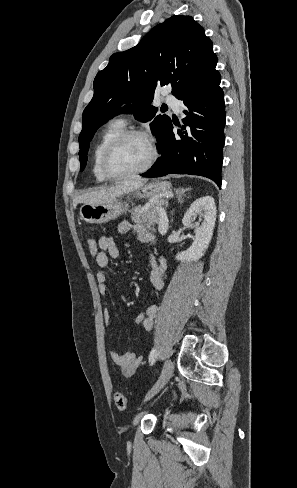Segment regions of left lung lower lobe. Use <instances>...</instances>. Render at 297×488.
I'll list each match as a JSON object with an SVG mask.
<instances>
[{
	"mask_svg": "<svg viewBox=\"0 0 297 488\" xmlns=\"http://www.w3.org/2000/svg\"><path fill=\"white\" fill-rule=\"evenodd\" d=\"M220 80L216 71L201 87L181 99L186 106L184 125L175 135L170 123L159 147L161 157L141 176L200 175L221 187L225 104Z\"/></svg>",
	"mask_w": 297,
	"mask_h": 488,
	"instance_id": "left-lung-lower-lobe-1",
	"label": "left lung lower lobe"
}]
</instances>
